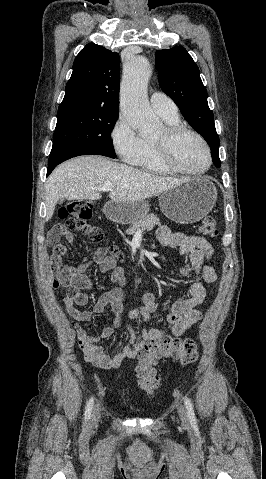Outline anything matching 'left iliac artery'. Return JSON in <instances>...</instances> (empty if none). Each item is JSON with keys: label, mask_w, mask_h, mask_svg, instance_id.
Here are the masks:
<instances>
[{"label": "left iliac artery", "mask_w": 266, "mask_h": 479, "mask_svg": "<svg viewBox=\"0 0 266 479\" xmlns=\"http://www.w3.org/2000/svg\"><path fill=\"white\" fill-rule=\"evenodd\" d=\"M184 405L187 409V414H188L189 419L191 421H195L196 417H195L193 405H192V402H191L190 398H188L187 396L184 397Z\"/></svg>", "instance_id": "obj_1"}]
</instances>
